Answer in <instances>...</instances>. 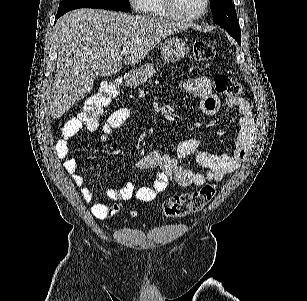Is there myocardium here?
<instances>
[{
    "label": "myocardium",
    "instance_id": "obj_1",
    "mask_svg": "<svg viewBox=\"0 0 307 301\" xmlns=\"http://www.w3.org/2000/svg\"><path fill=\"white\" fill-rule=\"evenodd\" d=\"M163 17H169L170 22H194L195 18L203 17L206 13L207 0H201L200 11H173L172 0H161Z\"/></svg>",
    "mask_w": 307,
    "mask_h": 301
}]
</instances>
